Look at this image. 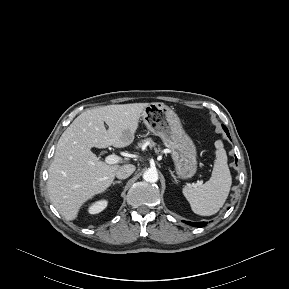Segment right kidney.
<instances>
[{
	"label": "right kidney",
	"mask_w": 289,
	"mask_h": 289,
	"mask_svg": "<svg viewBox=\"0 0 289 289\" xmlns=\"http://www.w3.org/2000/svg\"><path fill=\"white\" fill-rule=\"evenodd\" d=\"M107 204H108V202L106 200L97 201L89 207L88 211L90 214L100 213L101 211H103L107 207Z\"/></svg>",
	"instance_id": "ca27d5eb"
}]
</instances>
